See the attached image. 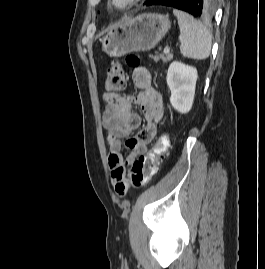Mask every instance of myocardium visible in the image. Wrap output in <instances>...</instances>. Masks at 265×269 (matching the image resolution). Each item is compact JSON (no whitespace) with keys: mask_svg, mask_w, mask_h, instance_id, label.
<instances>
[{"mask_svg":"<svg viewBox=\"0 0 265 269\" xmlns=\"http://www.w3.org/2000/svg\"><path fill=\"white\" fill-rule=\"evenodd\" d=\"M141 0H110L112 7L118 11H126L134 7Z\"/></svg>","mask_w":265,"mask_h":269,"instance_id":"obj_1","label":"myocardium"}]
</instances>
